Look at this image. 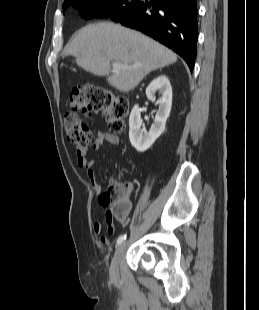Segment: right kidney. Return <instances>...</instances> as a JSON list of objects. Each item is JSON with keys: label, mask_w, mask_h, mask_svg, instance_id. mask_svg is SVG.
Returning a JSON list of instances; mask_svg holds the SVG:
<instances>
[{"label": "right kidney", "mask_w": 259, "mask_h": 310, "mask_svg": "<svg viewBox=\"0 0 259 310\" xmlns=\"http://www.w3.org/2000/svg\"><path fill=\"white\" fill-rule=\"evenodd\" d=\"M157 91L160 95V99L158 100L159 109L149 132L142 125L141 109L139 106L135 105L130 113L129 139L132 146L138 152H144L149 149L155 140L161 136L165 130L166 121L171 111L172 88L165 75L158 76L149 84L146 89L147 98L153 100Z\"/></svg>", "instance_id": "right-kidney-1"}]
</instances>
